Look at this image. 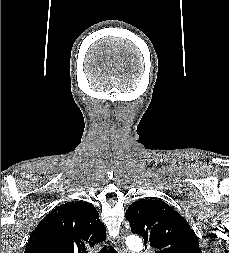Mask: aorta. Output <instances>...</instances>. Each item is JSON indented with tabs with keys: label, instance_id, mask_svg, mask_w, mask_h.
I'll list each match as a JSON object with an SVG mask.
<instances>
[{
	"label": "aorta",
	"instance_id": "obj_1",
	"mask_svg": "<svg viewBox=\"0 0 229 253\" xmlns=\"http://www.w3.org/2000/svg\"><path fill=\"white\" fill-rule=\"evenodd\" d=\"M126 244L130 250L136 251V252H139L143 247L142 240L137 236L129 237L126 240Z\"/></svg>",
	"mask_w": 229,
	"mask_h": 253
}]
</instances>
